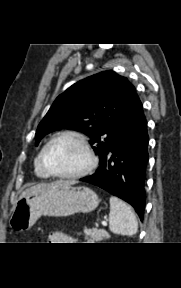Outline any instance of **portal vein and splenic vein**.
Wrapping results in <instances>:
<instances>
[{
	"instance_id": "18ae733b",
	"label": "portal vein and splenic vein",
	"mask_w": 181,
	"mask_h": 288,
	"mask_svg": "<svg viewBox=\"0 0 181 288\" xmlns=\"http://www.w3.org/2000/svg\"><path fill=\"white\" fill-rule=\"evenodd\" d=\"M102 225H103L104 227H106V226H107V222L103 221V222H102Z\"/></svg>"
}]
</instances>
